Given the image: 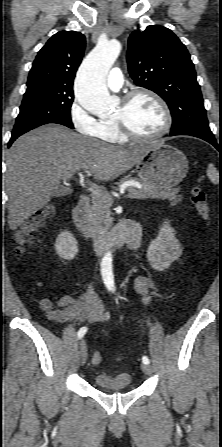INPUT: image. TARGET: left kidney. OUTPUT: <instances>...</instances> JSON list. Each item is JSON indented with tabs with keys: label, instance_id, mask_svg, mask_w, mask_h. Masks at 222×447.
Masks as SVG:
<instances>
[{
	"label": "left kidney",
	"instance_id": "left-kidney-1",
	"mask_svg": "<svg viewBox=\"0 0 222 447\" xmlns=\"http://www.w3.org/2000/svg\"><path fill=\"white\" fill-rule=\"evenodd\" d=\"M181 254L180 243L175 238L174 229L164 222L158 235L147 249V258L154 270L164 271Z\"/></svg>",
	"mask_w": 222,
	"mask_h": 447
}]
</instances>
